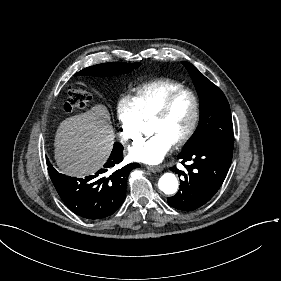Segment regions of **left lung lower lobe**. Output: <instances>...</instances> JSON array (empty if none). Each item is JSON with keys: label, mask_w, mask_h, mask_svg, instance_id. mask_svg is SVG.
<instances>
[{"label": "left lung lower lobe", "mask_w": 281, "mask_h": 281, "mask_svg": "<svg viewBox=\"0 0 281 281\" xmlns=\"http://www.w3.org/2000/svg\"><path fill=\"white\" fill-rule=\"evenodd\" d=\"M233 150H226L210 143L182 150L177 156L187 173L174 167L172 171L185 179L180 189L169 197L168 203L179 210L191 211L206 204L222 185L232 161ZM188 162V164H184Z\"/></svg>", "instance_id": "obj_1"}]
</instances>
